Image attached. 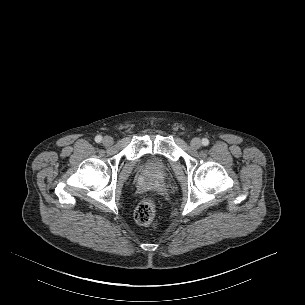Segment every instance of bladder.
I'll list each match as a JSON object with an SVG mask.
<instances>
[{"label":"bladder","mask_w":305,"mask_h":305,"mask_svg":"<svg viewBox=\"0 0 305 305\" xmlns=\"http://www.w3.org/2000/svg\"><path fill=\"white\" fill-rule=\"evenodd\" d=\"M149 171L155 176H164L168 172V167L165 164H153L149 166Z\"/></svg>","instance_id":"obj_1"}]
</instances>
